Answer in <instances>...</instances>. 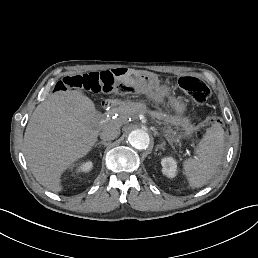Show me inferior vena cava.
I'll return each instance as SVG.
<instances>
[{
    "mask_svg": "<svg viewBox=\"0 0 258 258\" xmlns=\"http://www.w3.org/2000/svg\"><path fill=\"white\" fill-rule=\"evenodd\" d=\"M120 134V129L114 125H108L103 131L100 133V138L104 141L113 140L118 137Z\"/></svg>",
    "mask_w": 258,
    "mask_h": 258,
    "instance_id": "inferior-vena-cava-1",
    "label": "inferior vena cava"
}]
</instances>
